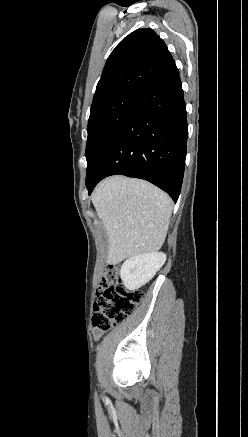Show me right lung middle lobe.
I'll use <instances>...</instances> for the list:
<instances>
[{"label":"right lung middle lobe","mask_w":248,"mask_h":437,"mask_svg":"<svg viewBox=\"0 0 248 437\" xmlns=\"http://www.w3.org/2000/svg\"><path fill=\"white\" fill-rule=\"evenodd\" d=\"M139 92L123 93L90 111L85 156L87 174L97 155L129 113Z\"/></svg>","instance_id":"obj_1"}]
</instances>
